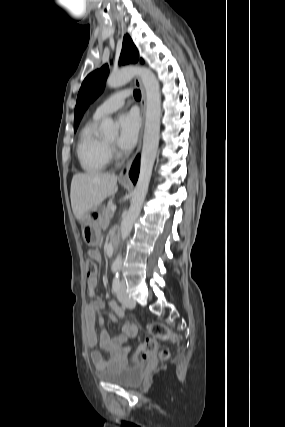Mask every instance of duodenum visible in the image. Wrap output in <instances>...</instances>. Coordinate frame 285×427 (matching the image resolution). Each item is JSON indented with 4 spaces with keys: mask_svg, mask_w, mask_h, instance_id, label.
<instances>
[{
    "mask_svg": "<svg viewBox=\"0 0 285 427\" xmlns=\"http://www.w3.org/2000/svg\"><path fill=\"white\" fill-rule=\"evenodd\" d=\"M118 234L116 232L111 233L109 240L108 253L109 255L113 254L114 248L118 243Z\"/></svg>",
    "mask_w": 285,
    "mask_h": 427,
    "instance_id": "410a0bca",
    "label": "duodenum"
}]
</instances>
